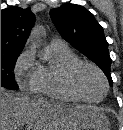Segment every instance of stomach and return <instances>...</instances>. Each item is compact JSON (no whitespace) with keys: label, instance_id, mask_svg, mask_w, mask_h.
<instances>
[{"label":"stomach","instance_id":"obj_1","mask_svg":"<svg viewBox=\"0 0 123 130\" xmlns=\"http://www.w3.org/2000/svg\"><path fill=\"white\" fill-rule=\"evenodd\" d=\"M74 130H85V129H83V128H77V129H74Z\"/></svg>","mask_w":123,"mask_h":130}]
</instances>
